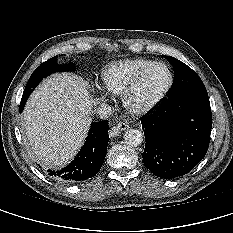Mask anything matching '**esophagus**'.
Here are the masks:
<instances>
[{
    "label": "esophagus",
    "instance_id": "34e87169",
    "mask_svg": "<svg viewBox=\"0 0 233 233\" xmlns=\"http://www.w3.org/2000/svg\"><path fill=\"white\" fill-rule=\"evenodd\" d=\"M128 128H129V125L127 123L119 122L110 130V135L111 136H116L121 131H124V130H126Z\"/></svg>",
    "mask_w": 233,
    "mask_h": 233
}]
</instances>
